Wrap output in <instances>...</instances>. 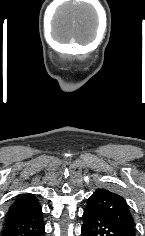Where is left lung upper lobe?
<instances>
[{
    "instance_id": "obj_1",
    "label": "left lung upper lobe",
    "mask_w": 145,
    "mask_h": 236,
    "mask_svg": "<svg viewBox=\"0 0 145 236\" xmlns=\"http://www.w3.org/2000/svg\"><path fill=\"white\" fill-rule=\"evenodd\" d=\"M87 209L112 221L130 236H135V223L123 197L106 189L99 188L88 199Z\"/></svg>"
}]
</instances>
